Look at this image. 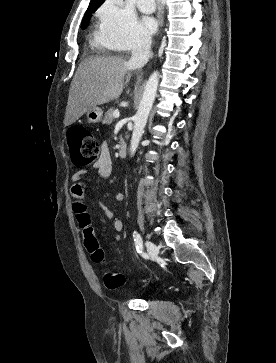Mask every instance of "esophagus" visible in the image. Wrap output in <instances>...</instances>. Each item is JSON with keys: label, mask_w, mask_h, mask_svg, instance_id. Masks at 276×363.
<instances>
[{"label": "esophagus", "mask_w": 276, "mask_h": 363, "mask_svg": "<svg viewBox=\"0 0 276 363\" xmlns=\"http://www.w3.org/2000/svg\"><path fill=\"white\" fill-rule=\"evenodd\" d=\"M158 4L162 6L161 0H157ZM159 24L162 25L163 23V11L160 9L159 16H158Z\"/></svg>", "instance_id": "obj_1"}]
</instances>
